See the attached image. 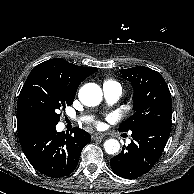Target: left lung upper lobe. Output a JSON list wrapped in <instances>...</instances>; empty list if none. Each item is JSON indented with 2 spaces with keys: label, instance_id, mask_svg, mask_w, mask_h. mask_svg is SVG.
<instances>
[{
  "label": "left lung upper lobe",
  "instance_id": "left-lung-upper-lobe-1",
  "mask_svg": "<svg viewBox=\"0 0 194 194\" xmlns=\"http://www.w3.org/2000/svg\"><path fill=\"white\" fill-rule=\"evenodd\" d=\"M120 74L134 87L135 111L121 123L120 131L126 132L142 123L171 121V94L160 73L148 67L137 66L120 70Z\"/></svg>",
  "mask_w": 194,
  "mask_h": 194
}]
</instances>
